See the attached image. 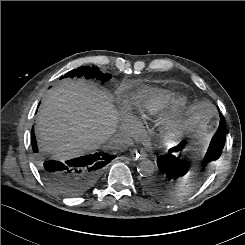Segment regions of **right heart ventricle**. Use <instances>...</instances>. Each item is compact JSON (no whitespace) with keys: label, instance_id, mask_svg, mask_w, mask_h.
Listing matches in <instances>:
<instances>
[{"label":"right heart ventricle","instance_id":"right-heart-ventricle-1","mask_svg":"<svg viewBox=\"0 0 245 245\" xmlns=\"http://www.w3.org/2000/svg\"><path fill=\"white\" fill-rule=\"evenodd\" d=\"M166 101L167 100L164 97H155V98L150 100V102L148 104V109L152 112H156V111L160 110L161 108H163Z\"/></svg>","mask_w":245,"mask_h":245}]
</instances>
